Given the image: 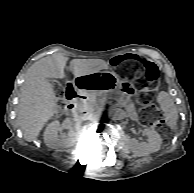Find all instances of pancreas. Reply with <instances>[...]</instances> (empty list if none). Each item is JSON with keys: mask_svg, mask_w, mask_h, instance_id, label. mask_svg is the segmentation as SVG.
Here are the masks:
<instances>
[{"mask_svg": "<svg viewBox=\"0 0 194 193\" xmlns=\"http://www.w3.org/2000/svg\"><path fill=\"white\" fill-rule=\"evenodd\" d=\"M97 102H99L101 105H104L105 101H112V102H116L118 104H120L121 106H123V108H125V110H127V112L131 115H134L135 110L132 106V103L130 100H126V96H122L120 94H112V93H107V94H102V95H97L96 96ZM127 104H129V107H127Z\"/></svg>", "mask_w": 194, "mask_h": 193, "instance_id": "cf45deb5", "label": "pancreas"}]
</instances>
